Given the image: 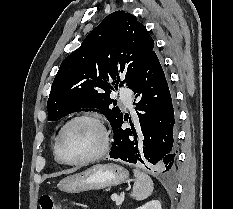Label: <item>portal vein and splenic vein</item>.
<instances>
[{
	"label": "portal vein and splenic vein",
	"instance_id": "1",
	"mask_svg": "<svg viewBox=\"0 0 233 209\" xmlns=\"http://www.w3.org/2000/svg\"><path fill=\"white\" fill-rule=\"evenodd\" d=\"M111 199H112L113 201H116V202L119 201V197H118L117 194H113V195L111 196Z\"/></svg>",
	"mask_w": 233,
	"mask_h": 209
}]
</instances>
